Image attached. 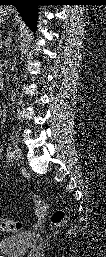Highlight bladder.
Returning a JSON list of instances; mask_svg holds the SVG:
<instances>
[{"mask_svg":"<svg viewBox=\"0 0 106 257\" xmlns=\"http://www.w3.org/2000/svg\"><path fill=\"white\" fill-rule=\"evenodd\" d=\"M34 241L30 231H22L3 238L0 241V251L7 257H21L26 254Z\"/></svg>","mask_w":106,"mask_h":257,"instance_id":"obj_1","label":"bladder"}]
</instances>
